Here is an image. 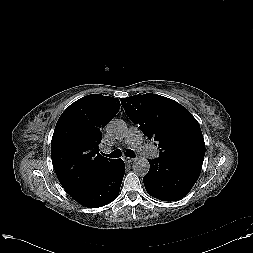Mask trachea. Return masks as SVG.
I'll return each instance as SVG.
<instances>
[{
	"mask_svg": "<svg viewBox=\"0 0 253 253\" xmlns=\"http://www.w3.org/2000/svg\"><path fill=\"white\" fill-rule=\"evenodd\" d=\"M104 155L107 156V157H109V158H119V157L122 156V152H121V150L117 149V150L113 151L110 154H104ZM125 156L126 157H135L136 155H135V153H134L133 150L128 149L125 152Z\"/></svg>",
	"mask_w": 253,
	"mask_h": 253,
	"instance_id": "trachea-1",
	"label": "trachea"
}]
</instances>
